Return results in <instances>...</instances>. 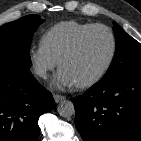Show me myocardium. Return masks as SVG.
Segmentation results:
<instances>
[{"label":"myocardium","instance_id":"1","mask_svg":"<svg viewBox=\"0 0 141 141\" xmlns=\"http://www.w3.org/2000/svg\"><path fill=\"white\" fill-rule=\"evenodd\" d=\"M97 29H102V30L106 31L109 34L110 39H111L110 54H109V57H108L107 61L104 64V66L101 68V70L95 76H93L92 78H90L87 81L75 84V87L78 88V89H87V88L93 87L94 85L99 83L106 76V74L108 73L109 69L111 68V66L113 64V61H114L115 55H116V51H117V40H116L114 32L112 31L111 28H109L106 25L94 24V25L86 28L82 32H80L75 37V39L71 42V44L67 47V49L62 53L60 58L58 59V66H59V68H61L63 62L76 52V50L79 48V46H80L81 42L83 41V39L90 32H92L94 30H97Z\"/></svg>","mask_w":141,"mask_h":141}]
</instances>
